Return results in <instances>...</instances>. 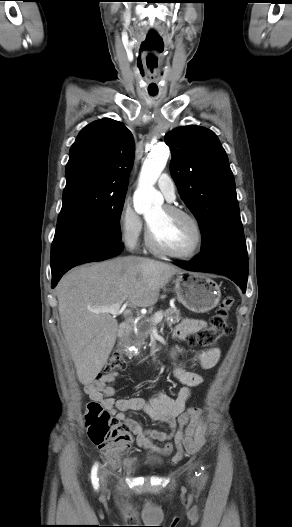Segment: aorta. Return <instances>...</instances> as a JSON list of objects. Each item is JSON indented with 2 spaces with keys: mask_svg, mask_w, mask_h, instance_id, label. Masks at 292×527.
<instances>
[{
  "mask_svg": "<svg viewBox=\"0 0 292 527\" xmlns=\"http://www.w3.org/2000/svg\"><path fill=\"white\" fill-rule=\"evenodd\" d=\"M169 157V149L164 143L152 147L148 153L139 176L138 188L133 196L134 209L138 214H146L163 201L162 195L154 185L164 170Z\"/></svg>",
  "mask_w": 292,
  "mask_h": 527,
  "instance_id": "1",
  "label": "aorta"
}]
</instances>
